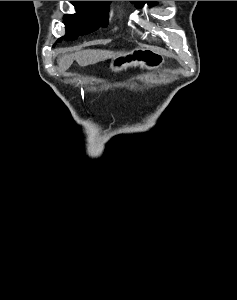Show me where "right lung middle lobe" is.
Instances as JSON below:
<instances>
[{"label":"right lung middle lobe","mask_w":237,"mask_h":300,"mask_svg":"<svg viewBox=\"0 0 237 300\" xmlns=\"http://www.w3.org/2000/svg\"><path fill=\"white\" fill-rule=\"evenodd\" d=\"M71 3L77 12L63 17L66 35L58 39L57 42L62 39L75 40L78 36L89 34L99 27L107 25L109 3H95L93 1H71Z\"/></svg>","instance_id":"1"}]
</instances>
